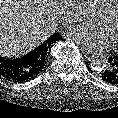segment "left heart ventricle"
Segmentation results:
<instances>
[{
  "label": "left heart ventricle",
  "mask_w": 118,
  "mask_h": 118,
  "mask_svg": "<svg viewBox=\"0 0 118 118\" xmlns=\"http://www.w3.org/2000/svg\"><path fill=\"white\" fill-rule=\"evenodd\" d=\"M92 21L105 30L112 44H118V4L109 14L97 13Z\"/></svg>",
  "instance_id": "1"
}]
</instances>
